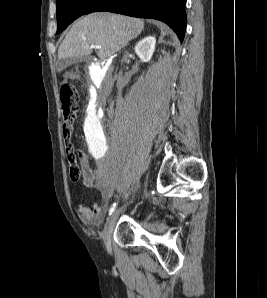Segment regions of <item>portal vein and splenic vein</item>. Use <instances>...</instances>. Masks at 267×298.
<instances>
[{"mask_svg":"<svg viewBox=\"0 0 267 298\" xmlns=\"http://www.w3.org/2000/svg\"><path fill=\"white\" fill-rule=\"evenodd\" d=\"M92 48L99 50V49H101V46L100 45H92Z\"/></svg>","mask_w":267,"mask_h":298,"instance_id":"obj_1","label":"portal vein and splenic vein"}]
</instances>
